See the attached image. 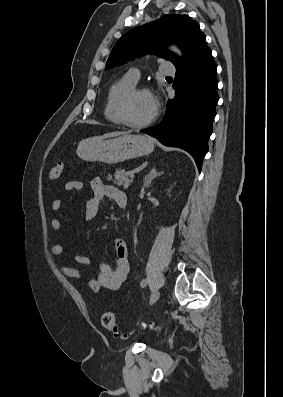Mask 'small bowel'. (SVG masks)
Instances as JSON below:
<instances>
[{"label":"small bowel","instance_id":"obj_1","mask_svg":"<svg viewBox=\"0 0 283 397\" xmlns=\"http://www.w3.org/2000/svg\"><path fill=\"white\" fill-rule=\"evenodd\" d=\"M83 183L79 180H72L65 183L67 191L82 190ZM92 196L88 199L85 208V218L87 221H93L98 217L100 205L104 198H108L115 202L119 208H125L127 205L126 194L120 189L106 185L98 177L91 181ZM62 207V200L56 198L52 202V210L58 212ZM51 227L56 232H61L63 225L60 219L52 218ZM64 247L60 243H55L51 246L50 252L53 256H59L63 253ZM114 251L116 255L115 264L112 266L107 263H102L98 267V275L89 281V287L92 291L98 292L101 289L111 291L118 290L125 281L129 272L128 251L125 242L121 239L114 241ZM75 261L79 265H90L91 259L84 255H76ZM63 275L73 278L81 279L82 271L77 267L63 266L60 268Z\"/></svg>","mask_w":283,"mask_h":397}]
</instances>
